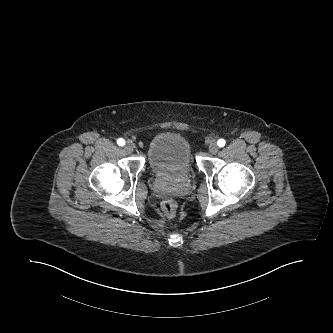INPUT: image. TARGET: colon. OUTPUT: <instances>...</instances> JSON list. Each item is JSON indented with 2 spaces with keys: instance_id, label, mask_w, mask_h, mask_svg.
Masks as SVG:
<instances>
[{
  "instance_id": "colon-1",
  "label": "colon",
  "mask_w": 333,
  "mask_h": 333,
  "mask_svg": "<svg viewBox=\"0 0 333 333\" xmlns=\"http://www.w3.org/2000/svg\"><path fill=\"white\" fill-rule=\"evenodd\" d=\"M162 209L167 216H174L177 212V203L174 200H166L162 204Z\"/></svg>"
}]
</instances>
